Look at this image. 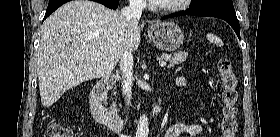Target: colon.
<instances>
[{
  "label": "colon",
  "mask_w": 280,
  "mask_h": 137,
  "mask_svg": "<svg viewBox=\"0 0 280 137\" xmlns=\"http://www.w3.org/2000/svg\"><path fill=\"white\" fill-rule=\"evenodd\" d=\"M222 85V118L223 137H235L237 132V78L229 59L220 58L217 65ZM49 137H73L70 129L58 122L51 121L47 126Z\"/></svg>",
  "instance_id": "obj_1"
}]
</instances>
